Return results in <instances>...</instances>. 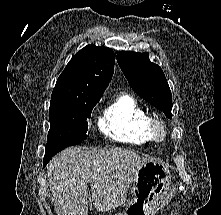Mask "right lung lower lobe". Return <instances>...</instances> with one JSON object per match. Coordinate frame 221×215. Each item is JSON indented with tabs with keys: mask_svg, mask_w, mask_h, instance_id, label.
Masks as SVG:
<instances>
[{
	"mask_svg": "<svg viewBox=\"0 0 221 215\" xmlns=\"http://www.w3.org/2000/svg\"><path fill=\"white\" fill-rule=\"evenodd\" d=\"M49 161H50V159H48V160L44 159V161H43V167H45L46 164H47Z\"/></svg>",
	"mask_w": 221,
	"mask_h": 215,
	"instance_id": "1",
	"label": "right lung lower lobe"
}]
</instances>
